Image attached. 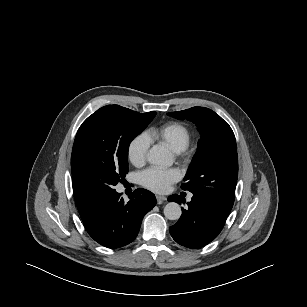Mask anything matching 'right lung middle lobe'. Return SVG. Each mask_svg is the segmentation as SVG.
Returning a JSON list of instances; mask_svg holds the SVG:
<instances>
[{
	"label": "right lung middle lobe",
	"instance_id": "obj_1",
	"mask_svg": "<svg viewBox=\"0 0 307 307\" xmlns=\"http://www.w3.org/2000/svg\"><path fill=\"white\" fill-rule=\"evenodd\" d=\"M156 112L138 113L108 105L89 116L77 131L71 157L75 199L95 204L115 191L128 172L130 142Z\"/></svg>",
	"mask_w": 307,
	"mask_h": 307
}]
</instances>
